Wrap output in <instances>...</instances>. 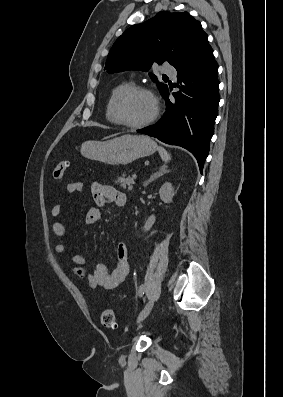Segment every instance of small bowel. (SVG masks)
Returning a JSON list of instances; mask_svg holds the SVG:
<instances>
[{"label":"small bowel","instance_id":"obj_1","mask_svg":"<svg viewBox=\"0 0 283 397\" xmlns=\"http://www.w3.org/2000/svg\"><path fill=\"white\" fill-rule=\"evenodd\" d=\"M83 188L84 185L80 181L69 182L66 185V190L69 194L81 193ZM91 194L93 204L87 209L85 214V222L87 224H96L100 221V209L102 207L113 204L121 208L126 204V195L111 186L95 182L91 186ZM51 213L54 218L52 230L57 237L54 252L60 254L65 251L66 247V228L59 219L61 215V205L58 203L54 204ZM72 260L75 266L70 269V274L77 278H86L89 287L93 289H114L124 281L129 273L128 251L124 243H118L116 246V264L112 270H109L105 264L99 263L92 272H89L86 269L87 259L80 254L74 255Z\"/></svg>","mask_w":283,"mask_h":397}]
</instances>
